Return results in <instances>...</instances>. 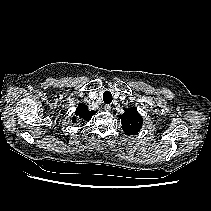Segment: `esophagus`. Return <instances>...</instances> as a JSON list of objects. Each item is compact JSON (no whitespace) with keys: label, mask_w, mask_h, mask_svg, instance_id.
<instances>
[{"label":"esophagus","mask_w":211,"mask_h":211,"mask_svg":"<svg viewBox=\"0 0 211 211\" xmlns=\"http://www.w3.org/2000/svg\"><path fill=\"white\" fill-rule=\"evenodd\" d=\"M104 109H105V111L109 112V111H111V106L110 105H105Z\"/></svg>","instance_id":"34e87169"}]
</instances>
